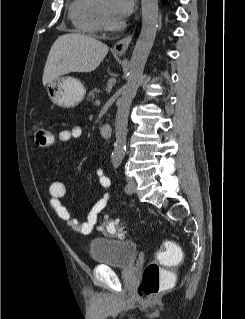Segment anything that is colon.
<instances>
[{"label": "colon", "instance_id": "obj_1", "mask_svg": "<svg viewBox=\"0 0 245 319\" xmlns=\"http://www.w3.org/2000/svg\"><path fill=\"white\" fill-rule=\"evenodd\" d=\"M35 143L39 147L51 146L54 142L52 131L36 124L33 128ZM99 232L119 238L125 237L127 229L119 221L102 218L97 223ZM183 260V251L171 241H165L155 258L144 269L143 278L138 286V294L145 300L153 299L160 291L171 284L165 266H170Z\"/></svg>", "mask_w": 245, "mask_h": 319}]
</instances>
